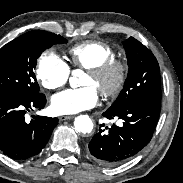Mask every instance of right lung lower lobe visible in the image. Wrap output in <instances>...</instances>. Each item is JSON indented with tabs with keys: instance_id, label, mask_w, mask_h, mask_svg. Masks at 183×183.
Returning a JSON list of instances; mask_svg holds the SVG:
<instances>
[{
	"instance_id": "1",
	"label": "right lung lower lobe",
	"mask_w": 183,
	"mask_h": 183,
	"mask_svg": "<svg viewBox=\"0 0 183 183\" xmlns=\"http://www.w3.org/2000/svg\"><path fill=\"white\" fill-rule=\"evenodd\" d=\"M46 104L42 93L0 94V150L14 160L37 155L47 144L57 118L37 116L26 123L25 114Z\"/></svg>"
}]
</instances>
